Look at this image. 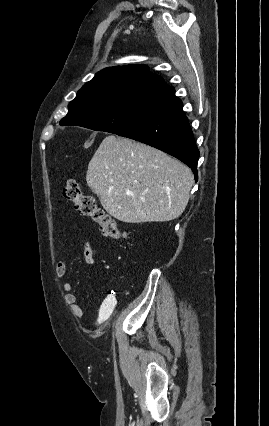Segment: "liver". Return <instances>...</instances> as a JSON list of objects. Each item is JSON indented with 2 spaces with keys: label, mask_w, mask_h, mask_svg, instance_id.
I'll return each instance as SVG.
<instances>
[{
  "label": "liver",
  "mask_w": 269,
  "mask_h": 426,
  "mask_svg": "<svg viewBox=\"0 0 269 426\" xmlns=\"http://www.w3.org/2000/svg\"><path fill=\"white\" fill-rule=\"evenodd\" d=\"M86 181L106 212L126 223L167 222L185 210L191 170L166 153L109 135L88 165Z\"/></svg>",
  "instance_id": "1"
}]
</instances>
